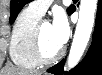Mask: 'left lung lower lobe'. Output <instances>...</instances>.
<instances>
[{
	"label": "left lung lower lobe",
	"instance_id": "1",
	"mask_svg": "<svg viewBox=\"0 0 102 75\" xmlns=\"http://www.w3.org/2000/svg\"><path fill=\"white\" fill-rule=\"evenodd\" d=\"M74 12L71 9L70 14ZM55 75H62L64 71V60L47 70ZM102 71V1L98 0L96 15V26L93 33L92 44L84 59L66 75H100Z\"/></svg>",
	"mask_w": 102,
	"mask_h": 75
}]
</instances>
